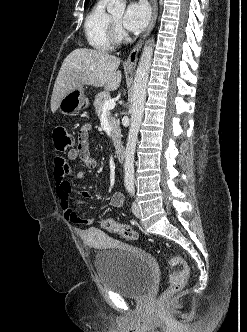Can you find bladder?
<instances>
[{"instance_id":"31cf9c89","label":"bladder","mask_w":247,"mask_h":332,"mask_svg":"<svg viewBox=\"0 0 247 332\" xmlns=\"http://www.w3.org/2000/svg\"><path fill=\"white\" fill-rule=\"evenodd\" d=\"M95 268L102 286L126 298H143L156 275L153 257L146 251L123 243L98 251Z\"/></svg>"}]
</instances>
